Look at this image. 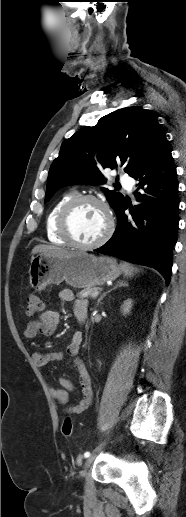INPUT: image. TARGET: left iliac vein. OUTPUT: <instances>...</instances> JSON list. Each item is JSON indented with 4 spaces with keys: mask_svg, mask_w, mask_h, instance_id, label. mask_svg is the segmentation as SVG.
Here are the masks:
<instances>
[{
    "mask_svg": "<svg viewBox=\"0 0 186 517\" xmlns=\"http://www.w3.org/2000/svg\"><path fill=\"white\" fill-rule=\"evenodd\" d=\"M100 450H101V446L98 448V450H97V451H100ZM93 461H94V456H89V457L85 460L84 468H85V469L89 468Z\"/></svg>",
    "mask_w": 186,
    "mask_h": 517,
    "instance_id": "obj_1",
    "label": "left iliac vein"
}]
</instances>
